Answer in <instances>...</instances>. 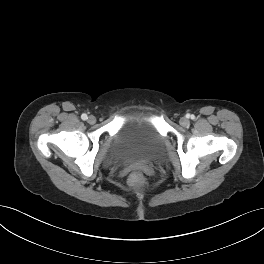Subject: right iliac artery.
<instances>
[{
	"label": "right iliac artery",
	"instance_id": "obj_1",
	"mask_svg": "<svg viewBox=\"0 0 264 264\" xmlns=\"http://www.w3.org/2000/svg\"><path fill=\"white\" fill-rule=\"evenodd\" d=\"M81 118H82V120H87V119H88V117H87L86 114H82V115H81Z\"/></svg>",
	"mask_w": 264,
	"mask_h": 264
}]
</instances>
